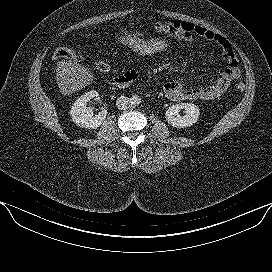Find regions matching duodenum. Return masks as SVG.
I'll list each match as a JSON object with an SVG mask.
<instances>
[{"instance_id": "1", "label": "duodenum", "mask_w": 272, "mask_h": 272, "mask_svg": "<svg viewBox=\"0 0 272 272\" xmlns=\"http://www.w3.org/2000/svg\"><path fill=\"white\" fill-rule=\"evenodd\" d=\"M133 82V77L127 74H122L110 80L109 84L117 88H124Z\"/></svg>"}]
</instances>
